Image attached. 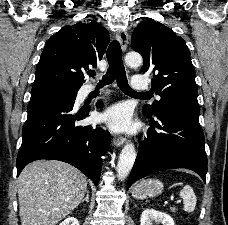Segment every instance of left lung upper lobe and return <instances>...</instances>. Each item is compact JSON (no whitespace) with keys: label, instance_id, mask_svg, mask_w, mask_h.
Listing matches in <instances>:
<instances>
[{"label":"left lung upper lobe","instance_id":"1","mask_svg":"<svg viewBox=\"0 0 228 225\" xmlns=\"http://www.w3.org/2000/svg\"><path fill=\"white\" fill-rule=\"evenodd\" d=\"M131 47L142 55L141 70L153 75L152 89L161 96L152 106H143L144 114L155 115L163 108L200 112L194 66L180 36L165 25L147 19L134 29Z\"/></svg>","mask_w":228,"mask_h":225}]
</instances>
